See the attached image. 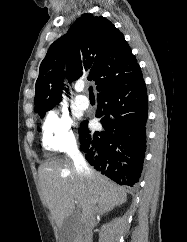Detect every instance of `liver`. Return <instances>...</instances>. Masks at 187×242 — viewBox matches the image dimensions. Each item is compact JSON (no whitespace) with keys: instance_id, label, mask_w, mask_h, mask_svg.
Returning a JSON list of instances; mask_svg holds the SVG:
<instances>
[{"instance_id":"1","label":"liver","mask_w":187,"mask_h":242,"mask_svg":"<svg viewBox=\"0 0 187 242\" xmlns=\"http://www.w3.org/2000/svg\"><path fill=\"white\" fill-rule=\"evenodd\" d=\"M91 172L90 180L80 176L73 161L67 158L53 159L40 165L38 174L42 194L59 228H62L64 220L74 212L75 202L82 209V223H86L91 215L106 213L126 202L124 188L94 169Z\"/></svg>"}]
</instances>
